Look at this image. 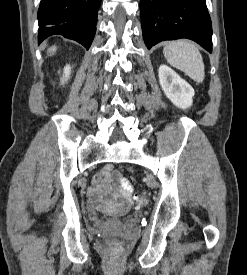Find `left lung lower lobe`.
<instances>
[{
	"instance_id": "left-lung-lower-lobe-1",
	"label": "left lung lower lobe",
	"mask_w": 247,
	"mask_h": 275,
	"mask_svg": "<svg viewBox=\"0 0 247 275\" xmlns=\"http://www.w3.org/2000/svg\"><path fill=\"white\" fill-rule=\"evenodd\" d=\"M148 49L164 40L191 39L212 52V24L205 0H140Z\"/></svg>"
}]
</instances>
